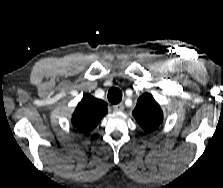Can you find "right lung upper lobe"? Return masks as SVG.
I'll return each mask as SVG.
<instances>
[{"label": "right lung upper lobe", "mask_w": 223, "mask_h": 188, "mask_svg": "<svg viewBox=\"0 0 223 188\" xmlns=\"http://www.w3.org/2000/svg\"><path fill=\"white\" fill-rule=\"evenodd\" d=\"M107 111L106 102L87 94L78 103L76 110L72 114V124L80 132L91 131L107 114Z\"/></svg>", "instance_id": "obj_1"}]
</instances>
